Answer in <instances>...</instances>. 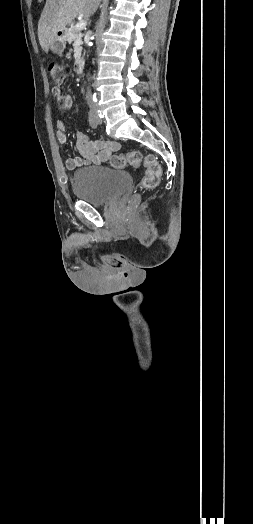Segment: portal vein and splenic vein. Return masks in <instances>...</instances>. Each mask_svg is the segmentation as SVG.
I'll list each match as a JSON object with an SVG mask.
<instances>
[{
	"instance_id": "portal-vein-and-splenic-vein-1",
	"label": "portal vein and splenic vein",
	"mask_w": 253,
	"mask_h": 524,
	"mask_svg": "<svg viewBox=\"0 0 253 524\" xmlns=\"http://www.w3.org/2000/svg\"><path fill=\"white\" fill-rule=\"evenodd\" d=\"M87 22L85 20H81L76 24L77 29H82L86 26Z\"/></svg>"
}]
</instances>
